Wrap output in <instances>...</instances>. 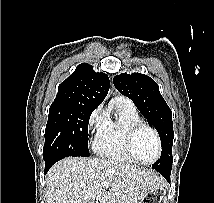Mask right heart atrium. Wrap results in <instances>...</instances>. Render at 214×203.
<instances>
[{
	"label": "right heart atrium",
	"instance_id": "d8ad5b80",
	"mask_svg": "<svg viewBox=\"0 0 214 203\" xmlns=\"http://www.w3.org/2000/svg\"><path fill=\"white\" fill-rule=\"evenodd\" d=\"M107 122V113L102 106L96 107L88 118V129L96 135L104 128Z\"/></svg>",
	"mask_w": 214,
	"mask_h": 203
}]
</instances>
